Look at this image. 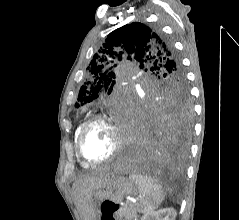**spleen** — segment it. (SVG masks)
<instances>
[{
    "label": "spleen",
    "mask_w": 239,
    "mask_h": 220,
    "mask_svg": "<svg viewBox=\"0 0 239 220\" xmlns=\"http://www.w3.org/2000/svg\"><path fill=\"white\" fill-rule=\"evenodd\" d=\"M129 179L133 181L143 196V199L137 206V210L141 213H147L158 208L164 201L165 194L154 179L139 173H131Z\"/></svg>",
    "instance_id": "spleen-1"
}]
</instances>
